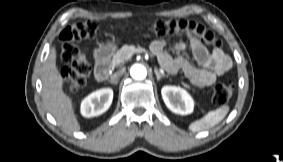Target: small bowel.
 Masks as SVG:
<instances>
[{
  "mask_svg": "<svg viewBox=\"0 0 283 162\" xmlns=\"http://www.w3.org/2000/svg\"><path fill=\"white\" fill-rule=\"evenodd\" d=\"M188 43L175 45L177 52L190 49L198 65L193 64L182 55L173 56L165 50L168 40L159 39L151 44L152 52L157 56L161 66L170 73L183 71L191 83L204 88L212 85L216 79L228 72L232 66L231 59L222 49L215 48L211 52L197 39L187 36Z\"/></svg>",
  "mask_w": 283,
  "mask_h": 162,
  "instance_id": "small-bowel-1",
  "label": "small bowel"
}]
</instances>
